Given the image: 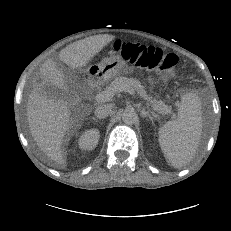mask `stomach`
Segmentation results:
<instances>
[{"instance_id": "stomach-1", "label": "stomach", "mask_w": 231, "mask_h": 231, "mask_svg": "<svg viewBox=\"0 0 231 231\" xmlns=\"http://www.w3.org/2000/svg\"><path fill=\"white\" fill-rule=\"evenodd\" d=\"M130 71L131 69L120 56L113 55L103 59L99 64L90 66L88 73L92 78L108 81L117 75L127 74Z\"/></svg>"}]
</instances>
